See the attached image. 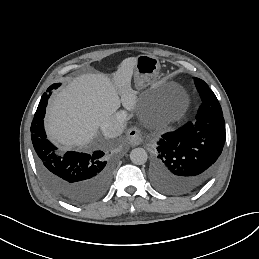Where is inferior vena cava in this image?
Masks as SVG:
<instances>
[{"instance_id": "1", "label": "inferior vena cava", "mask_w": 259, "mask_h": 259, "mask_svg": "<svg viewBox=\"0 0 259 259\" xmlns=\"http://www.w3.org/2000/svg\"><path fill=\"white\" fill-rule=\"evenodd\" d=\"M126 117V113L120 111L107 118L100 126L104 136L115 138L121 135L124 130Z\"/></svg>"}]
</instances>
